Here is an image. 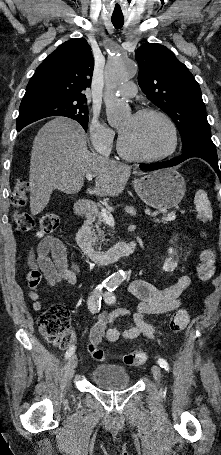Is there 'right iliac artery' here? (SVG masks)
Listing matches in <instances>:
<instances>
[{"mask_svg": "<svg viewBox=\"0 0 221 455\" xmlns=\"http://www.w3.org/2000/svg\"><path fill=\"white\" fill-rule=\"evenodd\" d=\"M103 287H108L105 284L98 285L90 294L88 297V308L89 310L94 314L97 311L100 310L101 307V300H102V294H103ZM75 352V346H71L65 353V358L68 359L70 358L73 353Z\"/></svg>", "mask_w": 221, "mask_h": 455, "instance_id": "82829eb1", "label": "right iliac artery"}]
</instances>
